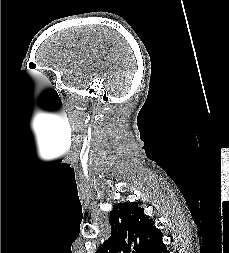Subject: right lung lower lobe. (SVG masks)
Instances as JSON below:
<instances>
[{
    "label": "right lung lower lobe",
    "mask_w": 229,
    "mask_h": 253,
    "mask_svg": "<svg viewBox=\"0 0 229 253\" xmlns=\"http://www.w3.org/2000/svg\"><path fill=\"white\" fill-rule=\"evenodd\" d=\"M150 253H168V250L164 243L161 241L150 251Z\"/></svg>",
    "instance_id": "obj_1"
}]
</instances>
